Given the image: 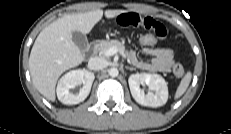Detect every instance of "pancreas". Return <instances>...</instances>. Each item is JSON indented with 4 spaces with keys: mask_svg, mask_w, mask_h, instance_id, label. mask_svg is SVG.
<instances>
[{
    "mask_svg": "<svg viewBox=\"0 0 231 134\" xmlns=\"http://www.w3.org/2000/svg\"><path fill=\"white\" fill-rule=\"evenodd\" d=\"M111 47H116L119 51L126 52L124 44L118 40L101 41L94 49L96 52H99V54L105 55V51Z\"/></svg>",
    "mask_w": 231,
    "mask_h": 134,
    "instance_id": "obj_1",
    "label": "pancreas"
}]
</instances>
